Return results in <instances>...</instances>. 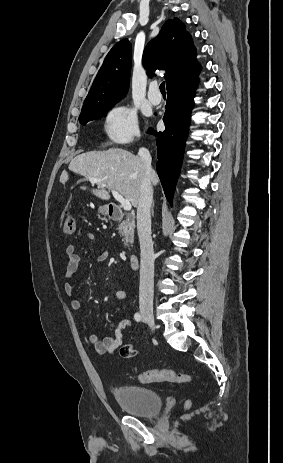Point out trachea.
I'll return each instance as SVG.
<instances>
[{
  "label": "trachea",
  "instance_id": "obj_1",
  "mask_svg": "<svg viewBox=\"0 0 283 463\" xmlns=\"http://www.w3.org/2000/svg\"><path fill=\"white\" fill-rule=\"evenodd\" d=\"M160 91H161L162 94H165V82H162L160 84Z\"/></svg>",
  "mask_w": 283,
  "mask_h": 463
}]
</instances>
